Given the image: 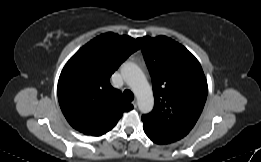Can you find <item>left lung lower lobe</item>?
<instances>
[{"label": "left lung lower lobe", "instance_id": "1", "mask_svg": "<svg viewBox=\"0 0 261 162\" xmlns=\"http://www.w3.org/2000/svg\"><path fill=\"white\" fill-rule=\"evenodd\" d=\"M143 129L146 135L156 144H169L177 140L170 139L156 133L152 128L143 124Z\"/></svg>", "mask_w": 261, "mask_h": 162}]
</instances>
